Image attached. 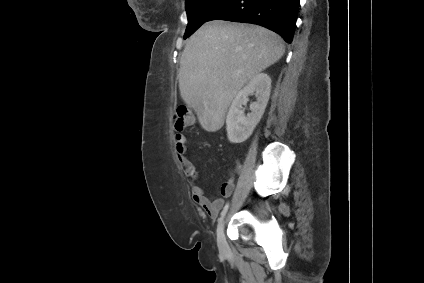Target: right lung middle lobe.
Instances as JSON below:
<instances>
[{
	"instance_id": "right-lung-middle-lobe-1",
	"label": "right lung middle lobe",
	"mask_w": 424,
	"mask_h": 283,
	"mask_svg": "<svg viewBox=\"0 0 424 283\" xmlns=\"http://www.w3.org/2000/svg\"><path fill=\"white\" fill-rule=\"evenodd\" d=\"M229 0H186L188 26L184 39L192 35L203 23L222 8Z\"/></svg>"
}]
</instances>
